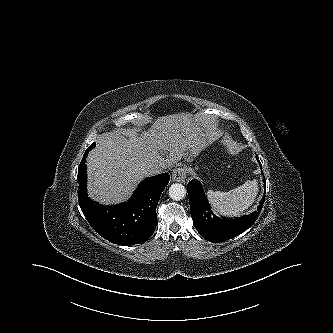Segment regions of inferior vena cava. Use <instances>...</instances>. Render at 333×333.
Wrapping results in <instances>:
<instances>
[{"instance_id":"obj_1","label":"inferior vena cava","mask_w":333,"mask_h":333,"mask_svg":"<svg viewBox=\"0 0 333 333\" xmlns=\"http://www.w3.org/2000/svg\"><path fill=\"white\" fill-rule=\"evenodd\" d=\"M166 167L163 165L152 164L147 167V171L150 175L160 174L162 173L163 169Z\"/></svg>"}]
</instances>
